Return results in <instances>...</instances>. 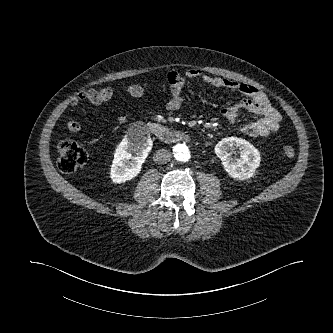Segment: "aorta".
I'll return each instance as SVG.
<instances>
[{
    "mask_svg": "<svg viewBox=\"0 0 333 333\" xmlns=\"http://www.w3.org/2000/svg\"><path fill=\"white\" fill-rule=\"evenodd\" d=\"M174 157L181 162H187L190 159V152L186 144H177L173 148Z\"/></svg>",
    "mask_w": 333,
    "mask_h": 333,
    "instance_id": "aorta-1",
    "label": "aorta"
}]
</instances>
